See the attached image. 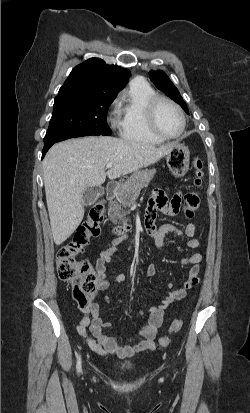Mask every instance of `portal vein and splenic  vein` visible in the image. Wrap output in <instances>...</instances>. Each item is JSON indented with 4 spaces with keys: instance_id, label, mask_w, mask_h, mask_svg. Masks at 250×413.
Returning a JSON list of instances; mask_svg holds the SVG:
<instances>
[{
    "instance_id": "1",
    "label": "portal vein and splenic vein",
    "mask_w": 250,
    "mask_h": 413,
    "mask_svg": "<svg viewBox=\"0 0 250 413\" xmlns=\"http://www.w3.org/2000/svg\"><path fill=\"white\" fill-rule=\"evenodd\" d=\"M112 166H113L112 162H109V163L106 164V168H108V169L111 168Z\"/></svg>"
}]
</instances>
